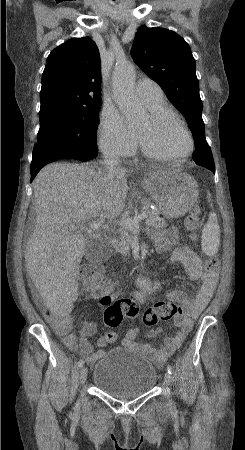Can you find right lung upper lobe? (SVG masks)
<instances>
[{"instance_id":"right-lung-upper-lobe-1","label":"right lung upper lobe","mask_w":245,"mask_h":450,"mask_svg":"<svg viewBox=\"0 0 245 450\" xmlns=\"http://www.w3.org/2000/svg\"><path fill=\"white\" fill-rule=\"evenodd\" d=\"M40 102V109L55 104L81 108L101 104L100 57L91 38L70 39L49 54Z\"/></svg>"}]
</instances>
